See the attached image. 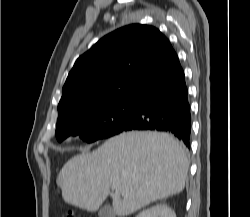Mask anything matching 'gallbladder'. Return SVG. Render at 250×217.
Here are the masks:
<instances>
[{"label": "gallbladder", "mask_w": 250, "mask_h": 217, "mask_svg": "<svg viewBox=\"0 0 250 217\" xmlns=\"http://www.w3.org/2000/svg\"><path fill=\"white\" fill-rule=\"evenodd\" d=\"M99 217H115L113 209L109 205H105L99 210Z\"/></svg>", "instance_id": "gallbladder-1"}]
</instances>
